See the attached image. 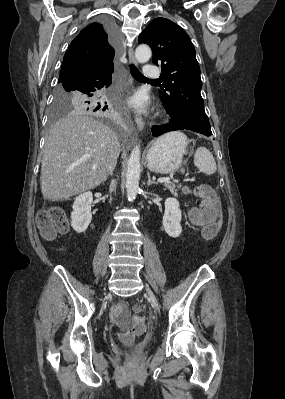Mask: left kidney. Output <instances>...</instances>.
<instances>
[{
	"label": "left kidney",
	"instance_id": "5707ae66",
	"mask_svg": "<svg viewBox=\"0 0 285 399\" xmlns=\"http://www.w3.org/2000/svg\"><path fill=\"white\" fill-rule=\"evenodd\" d=\"M182 213L179 202L175 198H167L165 201V212L163 216V227L165 232L173 238H177L182 233L181 227Z\"/></svg>",
	"mask_w": 285,
	"mask_h": 399
}]
</instances>
